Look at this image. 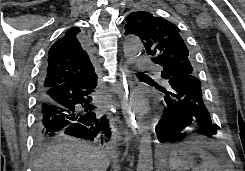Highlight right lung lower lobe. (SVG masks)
I'll return each mask as SVG.
<instances>
[{
  "instance_id": "98d812e1",
  "label": "right lung lower lobe",
  "mask_w": 245,
  "mask_h": 171,
  "mask_svg": "<svg viewBox=\"0 0 245 171\" xmlns=\"http://www.w3.org/2000/svg\"><path fill=\"white\" fill-rule=\"evenodd\" d=\"M84 46L91 54L89 43ZM97 75L61 85L38 86L36 107V138L65 133L86 140L106 142L111 131L106 116L97 105Z\"/></svg>"
}]
</instances>
